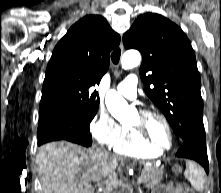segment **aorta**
Wrapping results in <instances>:
<instances>
[{
  "mask_svg": "<svg viewBox=\"0 0 221 193\" xmlns=\"http://www.w3.org/2000/svg\"><path fill=\"white\" fill-rule=\"evenodd\" d=\"M140 62V53L132 50L124 53L121 65L123 69H131L137 67ZM105 103L110 114L120 122L131 117L134 113V108L128 105L125 99L116 90H110L107 93Z\"/></svg>",
  "mask_w": 221,
  "mask_h": 193,
  "instance_id": "obj_1",
  "label": "aorta"
}]
</instances>
